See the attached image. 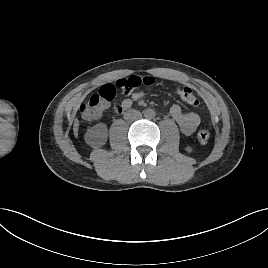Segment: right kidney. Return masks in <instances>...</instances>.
Listing matches in <instances>:
<instances>
[{"label":"right kidney","instance_id":"right-kidney-1","mask_svg":"<svg viewBox=\"0 0 268 268\" xmlns=\"http://www.w3.org/2000/svg\"><path fill=\"white\" fill-rule=\"evenodd\" d=\"M105 124L99 123L87 130L85 142L92 147L103 146L107 142L108 132Z\"/></svg>","mask_w":268,"mask_h":268}]
</instances>
